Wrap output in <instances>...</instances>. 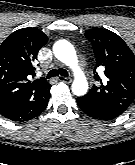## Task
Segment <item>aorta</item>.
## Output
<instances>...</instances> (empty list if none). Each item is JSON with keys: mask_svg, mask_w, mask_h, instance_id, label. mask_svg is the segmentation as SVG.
<instances>
[{"mask_svg": "<svg viewBox=\"0 0 135 165\" xmlns=\"http://www.w3.org/2000/svg\"><path fill=\"white\" fill-rule=\"evenodd\" d=\"M53 52L59 61L74 71L75 79L72 83V92L77 96L85 95L88 90V83L84 74L79 69L78 58L73 45L65 40L57 41L54 44Z\"/></svg>", "mask_w": 135, "mask_h": 165, "instance_id": "762f6f07", "label": "aorta"}]
</instances>
